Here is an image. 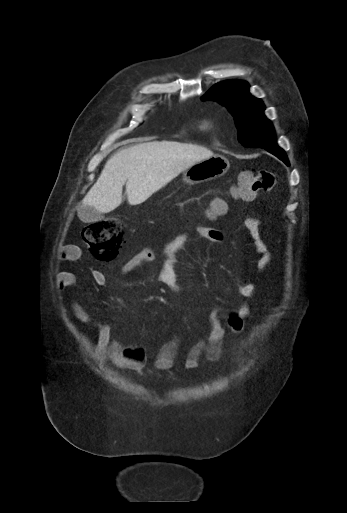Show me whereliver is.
<instances>
[{
    "mask_svg": "<svg viewBox=\"0 0 347 513\" xmlns=\"http://www.w3.org/2000/svg\"><path fill=\"white\" fill-rule=\"evenodd\" d=\"M213 152L205 147L175 141L147 142L115 153L78 208L109 213L122 202L123 186L129 204L148 199L178 174Z\"/></svg>",
    "mask_w": 347,
    "mask_h": 513,
    "instance_id": "liver-1",
    "label": "liver"
}]
</instances>
